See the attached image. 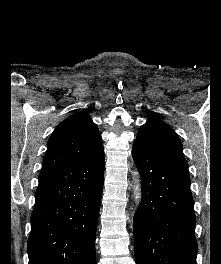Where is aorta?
Masks as SVG:
<instances>
[{"label": "aorta", "instance_id": "762f6f07", "mask_svg": "<svg viewBox=\"0 0 221 264\" xmlns=\"http://www.w3.org/2000/svg\"><path fill=\"white\" fill-rule=\"evenodd\" d=\"M135 175L137 176V178L134 182V198L136 202H139L141 199V184L140 179L138 178V173L136 172Z\"/></svg>", "mask_w": 221, "mask_h": 264}]
</instances>
